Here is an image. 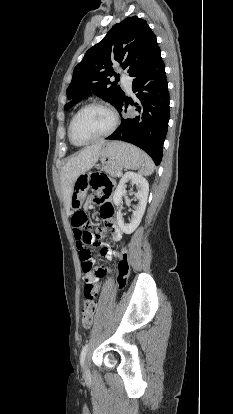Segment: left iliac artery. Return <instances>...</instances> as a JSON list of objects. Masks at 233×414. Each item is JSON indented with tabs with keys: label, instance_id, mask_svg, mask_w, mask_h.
I'll return each mask as SVG.
<instances>
[{
	"label": "left iliac artery",
	"instance_id": "1",
	"mask_svg": "<svg viewBox=\"0 0 233 414\" xmlns=\"http://www.w3.org/2000/svg\"><path fill=\"white\" fill-rule=\"evenodd\" d=\"M89 343H87L84 347H83V349H82V351H81V354H80V363H81V366H83V364H84V360H85V357H86V354H87V351H88V348H89Z\"/></svg>",
	"mask_w": 233,
	"mask_h": 414
}]
</instances>
